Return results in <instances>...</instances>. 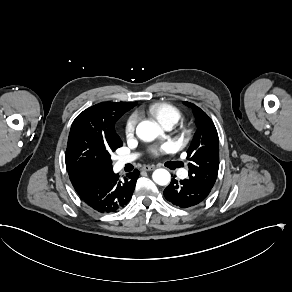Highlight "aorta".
I'll use <instances>...</instances> for the list:
<instances>
[{"label":"aorta","instance_id":"aorta-1","mask_svg":"<svg viewBox=\"0 0 292 292\" xmlns=\"http://www.w3.org/2000/svg\"><path fill=\"white\" fill-rule=\"evenodd\" d=\"M160 133V129L155 122L143 120L136 127V135L139 139L150 142ZM153 181L158 185H167L171 180V175L166 169H156L152 175Z\"/></svg>","mask_w":292,"mask_h":292}]
</instances>
